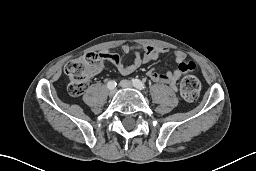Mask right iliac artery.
<instances>
[{
	"label": "right iliac artery",
	"instance_id": "obj_1",
	"mask_svg": "<svg viewBox=\"0 0 256 171\" xmlns=\"http://www.w3.org/2000/svg\"><path fill=\"white\" fill-rule=\"evenodd\" d=\"M116 85H117V83H116L115 81H109V82L107 83V87H108L109 89L114 88Z\"/></svg>",
	"mask_w": 256,
	"mask_h": 171
}]
</instances>
